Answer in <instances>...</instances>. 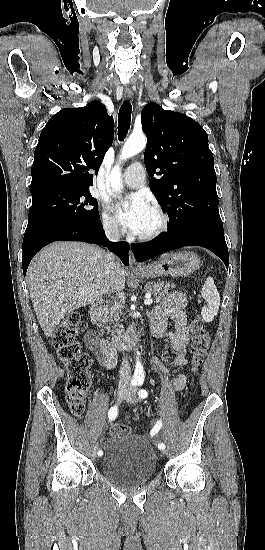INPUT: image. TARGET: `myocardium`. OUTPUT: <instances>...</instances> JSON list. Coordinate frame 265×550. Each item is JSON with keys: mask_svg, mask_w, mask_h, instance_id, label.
I'll return each instance as SVG.
<instances>
[{"mask_svg": "<svg viewBox=\"0 0 265 550\" xmlns=\"http://www.w3.org/2000/svg\"><path fill=\"white\" fill-rule=\"evenodd\" d=\"M151 211L158 217L159 224L154 230L150 232L143 233V234H135V237L138 240L151 241L153 239H156L157 237L165 233L169 227V217L161 208L157 206H152Z\"/></svg>", "mask_w": 265, "mask_h": 550, "instance_id": "1", "label": "myocardium"}]
</instances>
